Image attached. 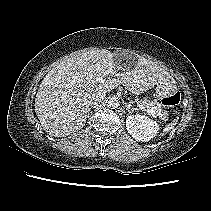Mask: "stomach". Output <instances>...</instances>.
Wrapping results in <instances>:
<instances>
[{"label": "stomach", "instance_id": "1", "mask_svg": "<svg viewBox=\"0 0 211 211\" xmlns=\"http://www.w3.org/2000/svg\"><path fill=\"white\" fill-rule=\"evenodd\" d=\"M118 53H120V52H118ZM115 56H116L115 57L116 62H118L121 66L128 67L131 64V62L127 61V58L122 59L123 56H125V57L127 56L126 54L117 56V53H116ZM123 60H125V61H123ZM136 61H137L136 58H134L133 64H135ZM175 91H176V86H175L174 82H171V81H168L165 83H160V84H158V87H157V92H158L159 97H164V96L170 95V94L174 93ZM141 93H142L141 90H136V91H134L133 94L139 95Z\"/></svg>", "mask_w": 211, "mask_h": 211}]
</instances>
